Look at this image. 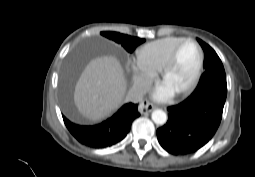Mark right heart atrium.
I'll return each mask as SVG.
<instances>
[{"label": "right heart atrium", "mask_w": 255, "mask_h": 177, "mask_svg": "<svg viewBox=\"0 0 255 177\" xmlns=\"http://www.w3.org/2000/svg\"><path fill=\"white\" fill-rule=\"evenodd\" d=\"M157 74V70L147 65L139 57L132 62V79L134 86L140 88L148 84Z\"/></svg>", "instance_id": "obj_1"}]
</instances>
